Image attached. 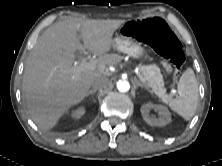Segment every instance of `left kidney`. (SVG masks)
Segmentation results:
<instances>
[{
	"mask_svg": "<svg viewBox=\"0 0 222 166\" xmlns=\"http://www.w3.org/2000/svg\"><path fill=\"white\" fill-rule=\"evenodd\" d=\"M154 109L160 114L159 118L150 116V110ZM141 114L146 123L151 126H165L171 122V115L168 109L162 105L146 103L141 106Z\"/></svg>",
	"mask_w": 222,
	"mask_h": 166,
	"instance_id": "left-kidney-1",
	"label": "left kidney"
}]
</instances>
